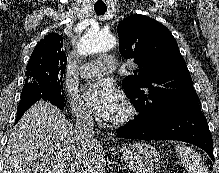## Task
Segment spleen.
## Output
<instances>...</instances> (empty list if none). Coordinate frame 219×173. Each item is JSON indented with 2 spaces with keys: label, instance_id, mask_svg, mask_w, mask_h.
Segmentation results:
<instances>
[{
  "label": "spleen",
  "instance_id": "spleen-1",
  "mask_svg": "<svg viewBox=\"0 0 219 173\" xmlns=\"http://www.w3.org/2000/svg\"><path fill=\"white\" fill-rule=\"evenodd\" d=\"M176 154L189 173H208V168L203 164L201 156L191 148L178 144Z\"/></svg>",
  "mask_w": 219,
  "mask_h": 173
}]
</instances>
